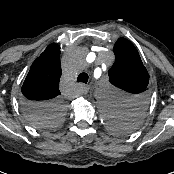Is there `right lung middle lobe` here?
Returning <instances> with one entry per match:
<instances>
[{
	"mask_svg": "<svg viewBox=\"0 0 174 174\" xmlns=\"http://www.w3.org/2000/svg\"><path fill=\"white\" fill-rule=\"evenodd\" d=\"M30 123L36 128H52L58 125L63 117L65 106L61 101L44 107L24 109Z\"/></svg>",
	"mask_w": 174,
	"mask_h": 174,
	"instance_id": "1",
	"label": "right lung middle lobe"
}]
</instances>
